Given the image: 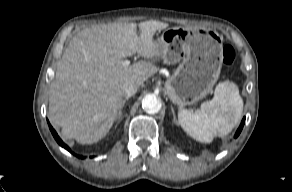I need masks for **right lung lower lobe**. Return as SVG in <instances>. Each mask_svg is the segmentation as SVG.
Segmentation results:
<instances>
[{
  "label": "right lung lower lobe",
  "instance_id": "1",
  "mask_svg": "<svg viewBox=\"0 0 292 192\" xmlns=\"http://www.w3.org/2000/svg\"><path fill=\"white\" fill-rule=\"evenodd\" d=\"M48 124H49V128L51 130V133L53 134V136L56 139V141L58 142V144L60 146H62L63 148H65L66 150H68L69 152H71L70 148L66 144H64L62 142V140L59 138V136L57 135L56 131L53 129V127L50 125L49 122H48ZM79 158H83V157L82 156H79Z\"/></svg>",
  "mask_w": 292,
  "mask_h": 192
}]
</instances>
